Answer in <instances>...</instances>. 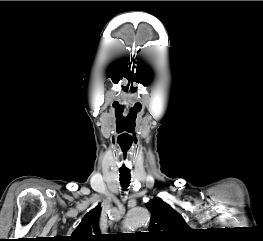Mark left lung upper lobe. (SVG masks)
<instances>
[{"mask_svg": "<svg viewBox=\"0 0 263 241\" xmlns=\"http://www.w3.org/2000/svg\"><path fill=\"white\" fill-rule=\"evenodd\" d=\"M152 218L148 235L157 241H186L191 228L183 217L162 199L156 197L146 203Z\"/></svg>", "mask_w": 263, "mask_h": 241, "instance_id": "obj_1", "label": "left lung upper lobe"}]
</instances>
